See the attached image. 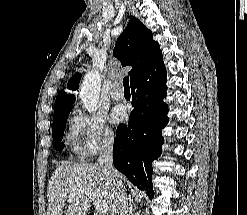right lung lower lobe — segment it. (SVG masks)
I'll return each instance as SVG.
<instances>
[{
	"label": "right lung lower lobe",
	"instance_id": "right-lung-lower-lobe-1",
	"mask_svg": "<svg viewBox=\"0 0 247 215\" xmlns=\"http://www.w3.org/2000/svg\"><path fill=\"white\" fill-rule=\"evenodd\" d=\"M166 69L162 54L131 81L134 110L128 125L120 124L114 143L113 163L135 186L154 196L152 162L161 155L162 129L168 123Z\"/></svg>",
	"mask_w": 247,
	"mask_h": 215
}]
</instances>
